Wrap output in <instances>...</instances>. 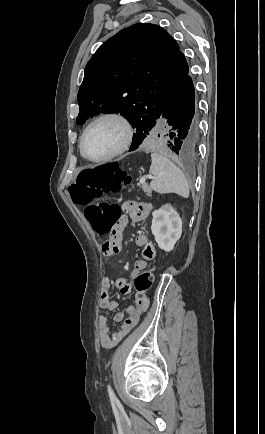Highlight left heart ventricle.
Masks as SVG:
<instances>
[{
  "mask_svg": "<svg viewBox=\"0 0 265 434\" xmlns=\"http://www.w3.org/2000/svg\"><path fill=\"white\" fill-rule=\"evenodd\" d=\"M122 140V125L114 120H104L88 132L83 143V151L89 158L100 159L116 150Z\"/></svg>",
  "mask_w": 265,
  "mask_h": 434,
  "instance_id": "obj_1",
  "label": "left heart ventricle"
}]
</instances>
